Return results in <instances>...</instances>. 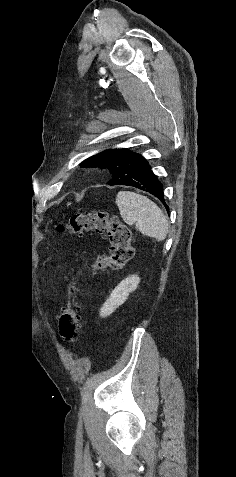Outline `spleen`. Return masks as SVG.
Returning <instances> with one entry per match:
<instances>
[{"mask_svg":"<svg viewBox=\"0 0 236 477\" xmlns=\"http://www.w3.org/2000/svg\"><path fill=\"white\" fill-rule=\"evenodd\" d=\"M116 204L126 224H135L143 235L158 241L166 238L168 232L166 217L162 210L146 196L130 191H120L116 196Z\"/></svg>","mask_w":236,"mask_h":477,"instance_id":"spleen-1","label":"spleen"}]
</instances>
